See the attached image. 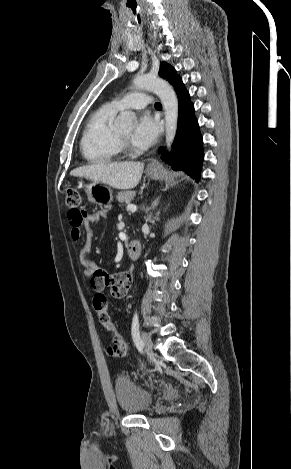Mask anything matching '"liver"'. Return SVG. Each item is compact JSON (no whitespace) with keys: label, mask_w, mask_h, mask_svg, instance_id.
Wrapping results in <instances>:
<instances>
[{"label":"liver","mask_w":291,"mask_h":469,"mask_svg":"<svg viewBox=\"0 0 291 469\" xmlns=\"http://www.w3.org/2000/svg\"><path fill=\"white\" fill-rule=\"evenodd\" d=\"M143 169V162H99L76 168L70 175L103 182L117 189H132L138 185Z\"/></svg>","instance_id":"obj_1"}]
</instances>
